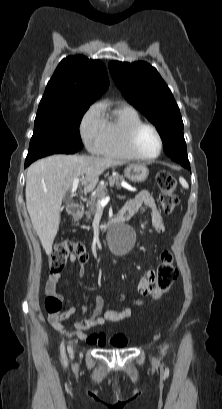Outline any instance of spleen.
Masks as SVG:
<instances>
[{"label":"spleen","mask_w":222,"mask_h":409,"mask_svg":"<svg viewBox=\"0 0 222 409\" xmlns=\"http://www.w3.org/2000/svg\"><path fill=\"white\" fill-rule=\"evenodd\" d=\"M179 182L185 189H188V187H189L188 183L186 182V180L184 178L180 177Z\"/></svg>","instance_id":"spleen-1"}]
</instances>
